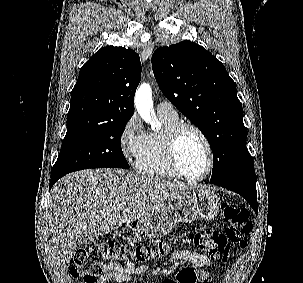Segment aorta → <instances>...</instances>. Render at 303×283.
<instances>
[{"instance_id": "obj_1", "label": "aorta", "mask_w": 303, "mask_h": 283, "mask_svg": "<svg viewBox=\"0 0 303 283\" xmlns=\"http://www.w3.org/2000/svg\"><path fill=\"white\" fill-rule=\"evenodd\" d=\"M135 107L141 118L151 125L152 129L159 126L153 111L152 90L149 84L143 83L135 94Z\"/></svg>"}]
</instances>
